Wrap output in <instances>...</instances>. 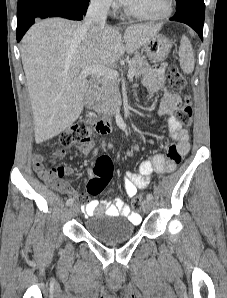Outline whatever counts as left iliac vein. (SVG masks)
<instances>
[{
    "instance_id": "4c4485c4",
    "label": "left iliac vein",
    "mask_w": 227,
    "mask_h": 298,
    "mask_svg": "<svg viewBox=\"0 0 227 298\" xmlns=\"http://www.w3.org/2000/svg\"><path fill=\"white\" fill-rule=\"evenodd\" d=\"M152 202L150 199H145L142 203V209L145 213H148L151 210Z\"/></svg>"
}]
</instances>
